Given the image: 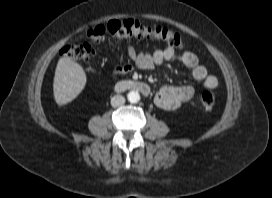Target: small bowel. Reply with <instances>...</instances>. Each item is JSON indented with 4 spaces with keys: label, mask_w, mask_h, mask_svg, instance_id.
I'll return each mask as SVG.
<instances>
[{
    "label": "small bowel",
    "mask_w": 272,
    "mask_h": 198,
    "mask_svg": "<svg viewBox=\"0 0 272 198\" xmlns=\"http://www.w3.org/2000/svg\"><path fill=\"white\" fill-rule=\"evenodd\" d=\"M126 50L132 64L115 68L113 72L115 78L130 72L134 68L149 70L168 61H178L189 69L192 77L200 82L203 88L214 89L218 85L217 78L208 73L205 66L199 62L198 57L192 52L178 54L172 47L150 52L137 49L132 44H128ZM194 94L195 89L190 85H167L157 91L154 101L161 109L172 111L191 100Z\"/></svg>",
    "instance_id": "obj_1"
}]
</instances>
